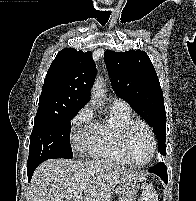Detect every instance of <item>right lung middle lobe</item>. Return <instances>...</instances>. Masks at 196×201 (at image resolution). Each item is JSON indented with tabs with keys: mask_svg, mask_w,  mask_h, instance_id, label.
<instances>
[{
	"mask_svg": "<svg viewBox=\"0 0 196 201\" xmlns=\"http://www.w3.org/2000/svg\"><path fill=\"white\" fill-rule=\"evenodd\" d=\"M81 108L65 111H37L30 138L27 166L47 159H72L70 121Z\"/></svg>",
	"mask_w": 196,
	"mask_h": 201,
	"instance_id": "obj_1",
	"label": "right lung middle lobe"
}]
</instances>
